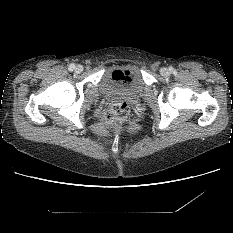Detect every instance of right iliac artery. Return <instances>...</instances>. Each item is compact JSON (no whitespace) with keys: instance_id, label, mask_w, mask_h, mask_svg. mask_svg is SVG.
Wrapping results in <instances>:
<instances>
[{"instance_id":"right-iliac-artery-1","label":"right iliac artery","mask_w":233,"mask_h":233,"mask_svg":"<svg viewBox=\"0 0 233 233\" xmlns=\"http://www.w3.org/2000/svg\"><path fill=\"white\" fill-rule=\"evenodd\" d=\"M74 68H75V65H74V64H70V65H69V70H70V71L74 70Z\"/></svg>"}]
</instances>
